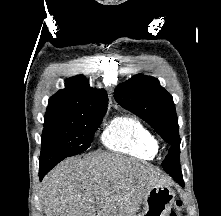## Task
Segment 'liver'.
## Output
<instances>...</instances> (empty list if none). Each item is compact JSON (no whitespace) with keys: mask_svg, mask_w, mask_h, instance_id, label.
Instances as JSON below:
<instances>
[{"mask_svg":"<svg viewBox=\"0 0 221 216\" xmlns=\"http://www.w3.org/2000/svg\"><path fill=\"white\" fill-rule=\"evenodd\" d=\"M167 182L151 165L92 152L57 165L43 179L40 194L45 216H135L146 193Z\"/></svg>","mask_w":221,"mask_h":216,"instance_id":"6515ba94","label":"liver"}]
</instances>
